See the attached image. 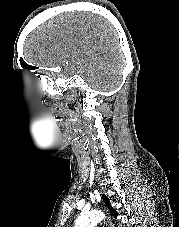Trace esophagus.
Here are the masks:
<instances>
[{
    "label": "esophagus",
    "mask_w": 179,
    "mask_h": 227,
    "mask_svg": "<svg viewBox=\"0 0 179 227\" xmlns=\"http://www.w3.org/2000/svg\"><path fill=\"white\" fill-rule=\"evenodd\" d=\"M104 223L106 224L107 227H113L112 222L108 218L104 220Z\"/></svg>",
    "instance_id": "34e87169"
}]
</instances>
